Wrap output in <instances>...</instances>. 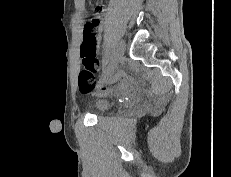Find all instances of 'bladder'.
Returning <instances> with one entry per match:
<instances>
[{"mask_svg":"<svg viewBox=\"0 0 231 177\" xmlns=\"http://www.w3.org/2000/svg\"><path fill=\"white\" fill-rule=\"evenodd\" d=\"M95 106L97 108V111L102 113L110 107V101L107 99H99L96 101Z\"/></svg>","mask_w":231,"mask_h":177,"instance_id":"bladder-1","label":"bladder"}]
</instances>
